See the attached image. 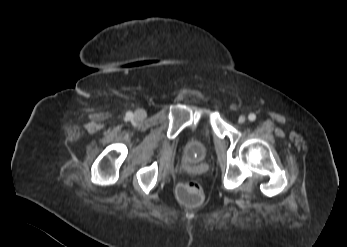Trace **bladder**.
I'll list each match as a JSON object with an SVG mask.
<instances>
[{
	"instance_id": "31cf9c89",
	"label": "bladder",
	"mask_w": 347,
	"mask_h": 247,
	"mask_svg": "<svg viewBox=\"0 0 347 247\" xmlns=\"http://www.w3.org/2000/svg\"><path fill=\"white\" fill-rule=\"evenodd\" d=\"M211 110L204 111V118L201 122L199 132L189 138L184 146L185 158L190 163H199L203 161L213 143Z\"/></svg>"
}]
</instances>
